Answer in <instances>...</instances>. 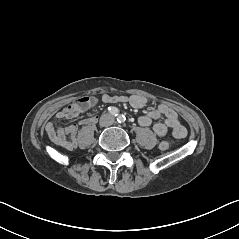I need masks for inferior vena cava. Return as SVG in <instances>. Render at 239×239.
I'll list each match as a JSON object with an SVG mask.
<instances>
[{"instance_id":"obj_1","label":"inferior vena cava","mask_w":239,"mask_h":239,"mask_svg":"<svg viewBox=\"0 0 239 239\" xmlns=\"http://www.w3.org/2000/svg\"><path fill=\"white\" fill-rule=\"evenodd\" d=\"M114 123V118L112 115L108 114V113H105V114H102L101 117H100V124L102 126H110Z\"/></svg>"}]
</instances>
